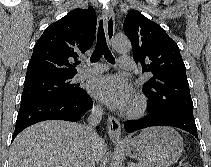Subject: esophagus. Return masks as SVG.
<instances>
[{
    "label": "esophagus",
    "mask_w": 211,
    "mask_h": 167,
    "mask_svg": "<svg viewBox=\"0 0 211 167\" xmlns=\"http://www.w3.org/2000/svg\"><path fill=\"white\" fill-rule=\"evenodd\" d=\"M105 31L106 38L109 45L112 44L115 34V18L114 12L111 7L106 10L105 14ZM108 134L112 141H118L121 139V126L117 118L109 115L107 119Z\"/></svg>",
    "instance_id": "obj_1"
}]
</instances>
